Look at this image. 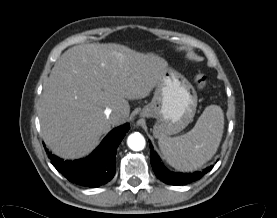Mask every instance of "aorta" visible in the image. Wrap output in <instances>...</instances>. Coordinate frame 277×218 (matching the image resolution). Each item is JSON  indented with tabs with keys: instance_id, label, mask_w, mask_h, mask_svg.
<instances>
[{
	"instance_id": "aorta-1",
	"label": "aorta",
	"mask_w": 277,
	"mask_h": 218,
	"mask_svg": "<svg viewBox=\"0 0 277 218\" xmlns=\"http://www.w3.org/2000/svg\"><path fill=\"white\" fill-rule=\"evenodd\" d=\"M128 147L133 151H141L145 148V138L138 132L132 133L127 139Z\"/></svg>"
}]
</instances>
